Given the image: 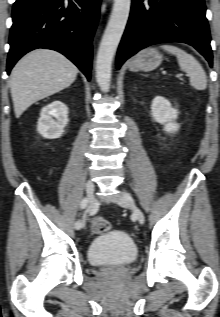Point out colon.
I'll return each mask as SVG.
<instances>
[{"label":"colon","instance_id":"1","mask_svg":"<svg viewBox=\"0 0 220 317\" xmlns=\"http://www.w3.org/2000/svg\"><path fill=\"white\" fill-rule=\"evenodd\" d=\"M110 228V223L103 217H95L91 221V230L94 233H104Z\"/></svg>","mask_w":220,"mask_h":317}]
</instances>
